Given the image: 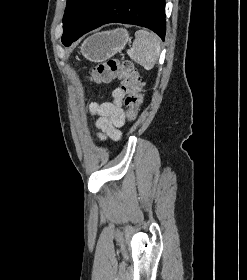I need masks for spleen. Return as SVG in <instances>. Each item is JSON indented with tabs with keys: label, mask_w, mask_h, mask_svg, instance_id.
Wrapping results in <instances>:
<instances>
[{
	"label": "spleen",
	"mask_w": 247,
	"mask_h": 280,
	"mask_svg": "<svg viewBox=\"0 0 247 280\" xmlns=\"http://www.w3.org/2000/svg\"><path fill=\"white\" fill-rule=\"evenodd\" d=\"M127 54L146 70H151L160 54V38L152 32L138 30L133 46L127 50Z\"/></svg>",
	"instance_id": "spleen-1"
}]
</instances>
